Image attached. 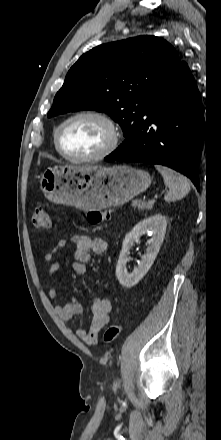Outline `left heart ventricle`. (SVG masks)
Here are the masks:
<instances>
[{"instance_id": "left-heart-ventricle-1", "label": "left heart ventricle", "mask_w": 221, "mask_h": 440, "mask_svg": "<svg viewBox=\"0 0 221 440\" xmlns=\"http://www.w3.org/2000/svg\"><path fill=\"white\" fill-rule=\"evenodd\" d=\"M109 140L106 125L98 119L82 117L69 122L60 135L62 150L72 157H87L100 152Z\"/></svg>"}]
</instances>
